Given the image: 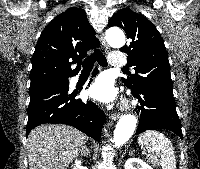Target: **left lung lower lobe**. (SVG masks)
Returning a JSON list of instances; mask_svg holds the SVG:
<instances>
[{
  "instance_id": "0a47b994",
  "label": "left lung lower lobe",
  "mask_w": 200,
  "mask_h": 169,
  "mask_svg": "<svg viewBox=\"0 0 200 169\" xmlns=\"http://www.w3.org/2000/svg\"><path fill=\"white\" fill-rule=\"evenodd\" d=\"M132 95L140 101L139 125L136 135L154 129H166L183 138L181 122L175 108L173 90L145 86Z\"/></svg>"
}]
</instances>
